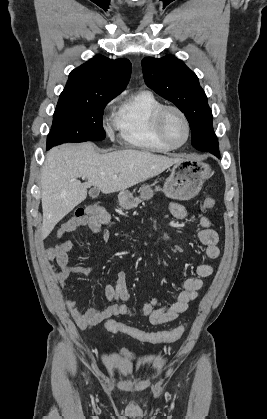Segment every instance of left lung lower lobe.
<instances>
[{
	"label": "left lung lower lobe",
	"mask_w": 267,
	"mask_h": 419,
	"mask_svg": "<svg viewBox=\"0 0 267 419\" xmlns=\"http://www.w3.org/2000/svg\"><path fill=\"white\" fill-rule=\"evenodd\" d=\"M216 154V156H219V152H217V153H215Z\"/></svg>",
	"instance_id": "0a47b994"
}]
</instances>
